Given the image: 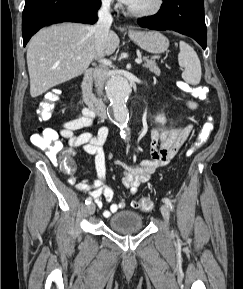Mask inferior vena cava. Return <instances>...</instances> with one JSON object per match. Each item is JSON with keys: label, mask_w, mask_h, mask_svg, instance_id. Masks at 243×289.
Returning a JSON list of instances; mask_svg holds the SVG:
<instances>
[{"label": "inferior vena cava", "mask_w": 243, "mask_h": 289, "mask_svg": "<svg viewBox=\"0 0 243 289\" xmlns=\"http://www.w3.org/2000/svg\"><path fill=\"white\" fill-rule=\"evenodd\" d=\"M111 0H102V6L98 11V21L94 26V36L96 41L97 55L99 58L104 56V45L109 35V29L113 18L110 13ZM105 72L102 68L94 70V81L97 91L100 94L103 88Z\"/></svg>", "instance_id": "1"}]
</instances>
